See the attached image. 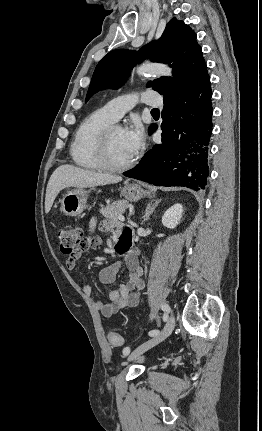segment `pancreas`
<instances>
[{
    "label": "pancreas",
    "instance_id": "obj_1",
    "mask_svg": "<svg viewBox=\"0 0 262 431\" xmlns=\"http://www.w3.org/2000/svg\"><path fill=\"white\" fill-rule=\"evenodd\" d=\"M128 208V203L125 200H118L113 202L112 204L107 205L104 208L100 209V213L107 219H112L118 222L119 216L122 215L126 209Z\"/></svg>",
    "mask_w": 262,
    "mask_h": 431
}]
</instances>
